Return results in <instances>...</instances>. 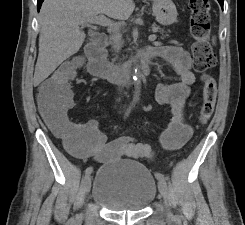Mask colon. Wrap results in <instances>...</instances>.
Segmentation results:
<instances>
[{
  "label": "colon",
  "mask_w": 245,
  "mask_h": 225,
  "mask_svg": "<svg viewBox=\"0 0 245 225\" xmlns=\"http://www.w3.org/2000/svg\"><path fill=\"white\" fill-rule=\"evenodd\" d=\"M190 31L194 39L192 52L194 55L195 69L201 74L203 83V102L198 115L201 123H207L213 117L217 86L214 78L208 73L216 66L217 58L210 44L211 34V6L208 0H190ZM71 76L68 71L55 72L41 86L40 90L47 104L59 109L61 102L70 94ZM58 133L68 149L74 147L76 129L71 126H58Z\"/></svg>",
  "instance_id": "1"
}]
</instances>
